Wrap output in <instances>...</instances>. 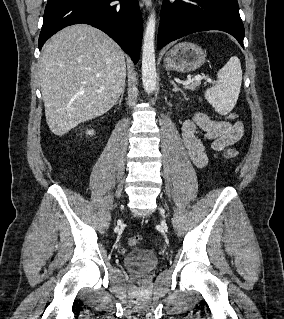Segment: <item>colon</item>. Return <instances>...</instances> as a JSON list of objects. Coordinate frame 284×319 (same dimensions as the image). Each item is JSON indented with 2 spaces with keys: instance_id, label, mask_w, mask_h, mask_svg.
I'll return each instance as SVG.
<instances>
[{
  "instance_id": "1",
  "label": "colon",
  "mask_w": 284,
  "mask_h": 319,
  "mask_svg": "<svg viewBox=\"0 0 284 319\" xmlns=\"http://www.w3.org/2000/svg\"><path fill=\"white\" fill-rule=\"evenodd\" d=\"M237 118V114L236 113H229L227 115V119L229 120H235ZM237 151L234 149H229L224 153V156L228 159H232L235 158L237 156ZM142 241V236L141 235H133L128 239V244L131 246H136L138 245L140 242Z\"/></svg>"
}]
</instances>
